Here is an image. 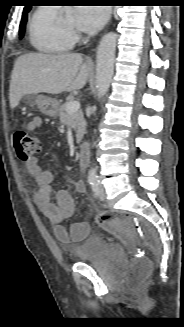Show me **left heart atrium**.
<instances>
[{
    "label": "left heart atrium",
    "mask_w": 184,
    "mask_h": 327,
    "mask_svg": "<svg viewBox=\"0 0 184 327\" xmlns=\"http://www.w3.org/2000/svg\"><path fill=\"white\" fill-rule=\"evenodd\" d=\"M78 28L85 32L98 31L109 17V9L94 5H83L75 12Z\"/></svg>",
    "instance_id": "39dd6f15"
}]
</instances>
